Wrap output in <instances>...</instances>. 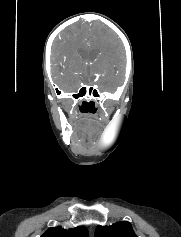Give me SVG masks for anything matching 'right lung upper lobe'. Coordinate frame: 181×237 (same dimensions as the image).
<instances>
[{
  "instance_id": "1",
  "label": "right lung upper lobe",
  "mask_w": 181,
  "mask_h": 237,
  "mask_svg": "<svg viewBox=\"0 0 181 237\" xmlns=\"http://www.w3.org/2000/svg\"><path fill=\"white\" fill-rule=\"evenodd\" d=\"M41 237H89V234L84 226L68 230L58 226L49 228Z\"/></svg>"
}]
</instances>
